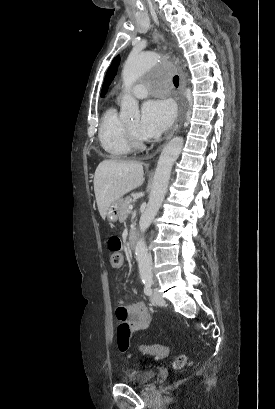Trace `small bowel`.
Wrapping results in <instances>:
<instances>
[{"mask_svg": "<svg viewBox=\"0 0 275 409\" xmlns=\"http://www.w3.org/2000/svg\"><path fill=\"white\" fill-rule=\"evenodd\" d=\"M136 294L137 290H132ZM114 312L118 320L122 321L118 327L117 344L119 346V353L131 356L130 352V334L133 330L147 329L151 326L152 316L148 307L143 302L124 305V301H119L118 305L114 307ZM129 324V325H128Z\"/></svg>", "mask_w": 275, "mask_h": 409, "instance_id": "obj_1", "label": "small bowel"}]
</instances>
